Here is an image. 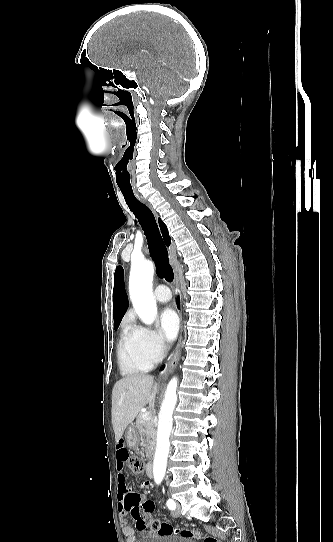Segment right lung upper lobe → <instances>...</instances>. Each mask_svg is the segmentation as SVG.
<instances>
[{
  "instance_id": "obj_1",
  "label": "right lung upper lobe",
  "mask_w": 333,
  "mask_h": 542,
  "mask_svg": "<svg viewBox=\"0 0 333 542\" xmlns=\"http://www.w3.org/2000/svg\"><path fill=\"white\" fill-rule=\"evenodd\" d=\"M159 226L167 246L170 244V236L166 225L159 219ZM128 307V298L124 287V274L121 266L117 267L114 276V291H113V318L114 327L119 326L122 317Z\"/></svg>"
}]
</instances>
